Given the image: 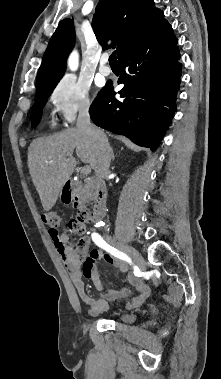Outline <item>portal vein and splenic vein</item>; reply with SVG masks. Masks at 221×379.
<instances>
[{
    "label": "portal vein and splenic vein",
    "mask_w": 221,
    "mask_h": 379,
    "mask_svg": "<svg viewBox=\"0 0 221 379\" xmlns=\"http://www.w3.org/2000/svg\"><path fill=\"white\" fill-rule=\"evenodd\" d=\"M82 172L84 174H89L91 172V166L89 165H86L83 169H82Z\"/></svg>",
    "instance_id": "portal-vein-and-splenic-vein-1"
}]
</instances>
